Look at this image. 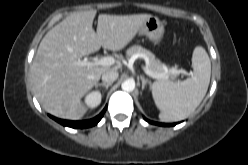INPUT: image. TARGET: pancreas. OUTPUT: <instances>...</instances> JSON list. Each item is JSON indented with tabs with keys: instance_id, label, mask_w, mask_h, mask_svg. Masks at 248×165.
I'll list each match as a JSON object with an SVG mask.
<instances>
[{
	"instance_id": "cf45deb5",
	"label": "pancreas",
	"mask_w": 248,
	"mask_h": 165,
	"mask_svg": "<svg viewBox=\"0 0 248 165\" xmlns=\"http://www.w3.org/2000/svg\"><path fill=\"white\" fill-rule=\"evenodd\" d=\"M135 54H143L148 58V60H149L148 68L150 70L157 72V73L165 72L164 71V65L161 63V61L156 59L155 55L152 52H150L149 50L141 47L140 45H133L130 48H128L126 51V56L128 58L132 57ZM174 69L177 71L176 67ZM176 75H177V72H175V73L169 72L168 73V77H171V78L175 77Z\"/></svg>"
}]
</instances>
